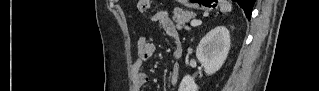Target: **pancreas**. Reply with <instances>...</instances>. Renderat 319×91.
<instances>
[{"label": "pancreas", "instance_id": "1", "mask_svg": "<svg viewBox=\"0 0 319 91\" xmlns=\"http://www.w3.org/2000/svg\"><path fill=\"white\" fill-rule=\"evenodd\" d=\"M174 15L172 17V19L175 21L176 23V28L178 30H182V29H189V27L186 25L187 22H189L190 19L195 18L196 14L193 12H187V11H183L181 9H175L174 10Z\"/></svg>", "mask_w": 319, "mask_h": 91}]
</instances>
